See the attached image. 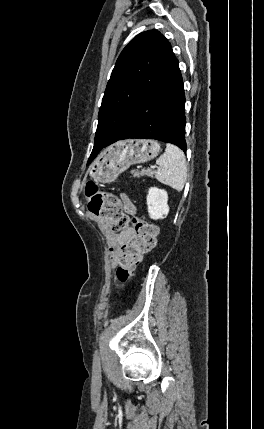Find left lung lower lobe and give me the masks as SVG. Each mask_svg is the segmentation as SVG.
<instances>
[{"label": "left lung lower lobe", "mask_w": 264, "mask_h": 429, "mask_svg": "<svg viewBox=\"0 0 264 429\" xmlns=\"http://www.w3.org/2000/svg\"><path fill=\"white\" fill-rule=\"evenodd\" d=\"M185 124L183 81L171 48L162 72L144 96L132 124L120 140L156 139L175 144L186 152ZM97 154L91 155L88 162Z\"/></svg>", "instance_id": "0a47b994"}]
</instances>
